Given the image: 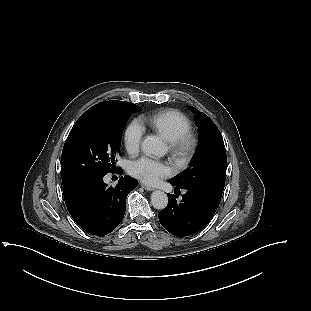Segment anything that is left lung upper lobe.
Instances as JSON below:
<instances>
[{"label": "left lung upper lobe", "instance_id": "1", "mask_svg": "<svg viewBox=\"0 0 311 311\" xmlns=\"http://www.w3.org/2000/svg\"><path fill=\"white\" fill-rule=\"evenodd\" d=\"M200 132V143L189 168L170 179L181 188L200 190L218 200L225 185L227 158L223 137L216 124L204 113L190 107Z\"/></svg>", "mask_w": 311, "mask_h": 311}]
</instances>
